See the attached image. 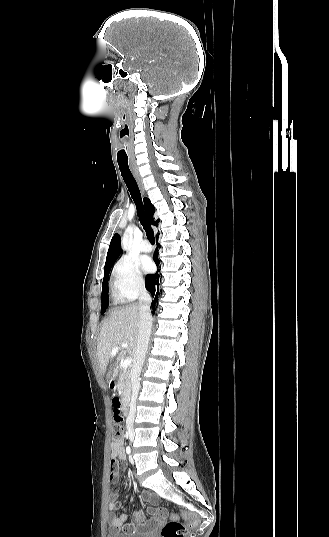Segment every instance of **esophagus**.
Wrapping results in <instances>:
<instances>
[{"label":"esophagus","mask_w":329,"mask_h":537,"mask_svg":"<svg viewBox=\"0 0 329 537\" xmlns=\"http://www.w3.org/2000/svg\"><path fill=\"white\" fill-rule=\"evenodd\" d=\"M131 171H132V173H133V175H134V177H135V179H136L141 191L144 193V186H143L142 178H141L137 168L131 167Z\"/></svg>","instance_id":"34e87169"}]
</instances>
